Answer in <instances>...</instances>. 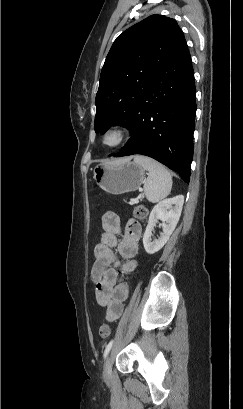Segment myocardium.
<instances>
[{"label":"myocardium","instance_id":"1","mask_svg":"<svg viewBox=\"0 0 243 409\" xmlns=\"http://www.w3.org/2000/svg\"><path fill=\"white\" fill-rule=\"evenodd\" d=\"M127 135V130L120 123L112 124L106 127L101 134V144L109 149H115L121 146ZM112 138V141H109Z\"/></svg>","mask_w":243,"mask_h":409}]
</instances>
